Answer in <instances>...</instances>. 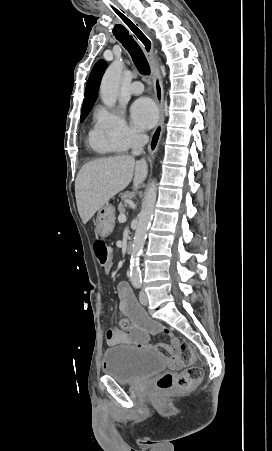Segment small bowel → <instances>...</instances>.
Returning <instances> with one entry per match:
<instances>
[{
	"instance_id": "obj_1",
	"label": "small bowel",
	"mask_w": 272,
	"mask_h": 451,
	"mask_svg": "<svg viewBox=\"0 0 272 451\" xmlns=\"http://www.w3.org/2000/svg\"><path fill=\"white\" fill-rule=\"evenodd\" d=\"M111 268L112 262L104 269L106 272H109ZM116 294L119 300V312L124 318L129 320L131 324L125 331L120 330L117 327L109 329L107 334V342L109 344H132L138 348H146L158 352L160 349L168 351V348H170L171 345H175L179 342L177 338L172 336V333L168 328L154 322L144 313L127 282L118 283ZM152 330H158L169 335L171 337V343H160L158 345L149 343L147 341L146 333ZM111 334L115 335L114 339L110 338Z\"/></svg>"
}]
</instances>
